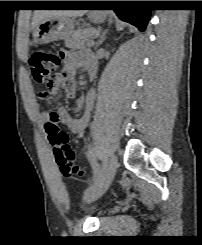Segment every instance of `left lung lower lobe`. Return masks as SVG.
<instances>
[{"instance_id": "0a47b994", "label": "left lung lower lobe", "mask_w": 202, "mask_h": 245, "mask_svg": "<svg viewBox=\"0 0 202 245\" xmlns=\"http://www.w3.org/2000/svg\"><path fill=\"white\" fill-rule=\"evenodd\" d=\"M97 1H87V6H93L97 4ZM119 7L114 9L118 17L126 22L135 25L140 31H144L148 21L150 20V10L141 8H127L125 7L127 2H118Z\"/></svg>"}]
</instances>
